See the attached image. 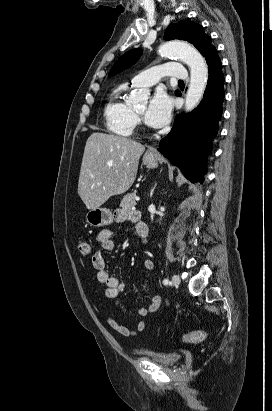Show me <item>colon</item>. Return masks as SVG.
I'll list each match as a JSON object with an SVG mask.
<instances>
[{
    "label": "colon",
    "instance_id": "obj_1",
    "mask_svg": "<svg viewBox=\"0 0 272 411\" xmlns=\"http://www.w3.org/2000/svg\"><path fill=\"white\" fill-rule=\"evenodd\" d=\"M79 251L83 255H88L91 252L90 244L87 241H81L79 243ZM180 338L188 343H197L205 338V332L203 330H196L193 332L184 333Z\"/></svg>",
    "mask_w": 272,
    "mask_h": 411
}]
</instances>
